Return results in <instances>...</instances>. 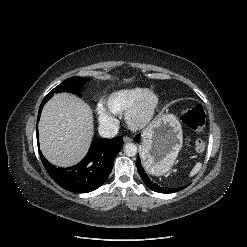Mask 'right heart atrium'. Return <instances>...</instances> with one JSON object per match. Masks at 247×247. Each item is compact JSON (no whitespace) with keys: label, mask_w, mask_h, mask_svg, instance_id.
Returning a JSON list of instances; mask_svg holds the SVG:
<instances>
[{"label":"right heart atrium","mask_w":247,"mask_h":247,"mask_svg":"<svg viewBox=\"0 0 247 247\" xmlns=\"http://www.w3.org/2000/svg\"><path fill=\"white\" fill-rule=\"evenodd\" d=\"M97 115L100 123L106 127H112L115 124L114 117L105 110L103 106L97 108Z\"/></svg>","instance_id":"right-heart-atrium-1"}]
</instances>
